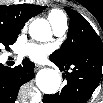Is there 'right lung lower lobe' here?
<instances>
[{
  "label": "right lung lower lobe",
  "mask_w": 103,
  "mask_h": 103,
  "mask_svg": "<svg viewBox=\"0 0 103 103\" xmlns=\"http://www.w3.org/2000/svg\"><path fill=\"white\" fill-rule=\"evenodd\" d=\"M33 77L34 63L27 58L14 68L0 64V103H14L19 88Z\"/></svg>",
  "instance_id": "1"
}]
</instances>
